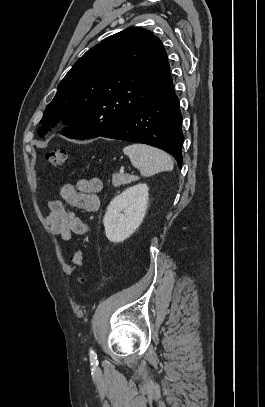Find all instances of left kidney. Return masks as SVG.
Returning <instances> with one entry per match:
<instances>
[{
  "label": "left kidney",
  "instance_id": "1",
  "mask_svg": "<svg viewBox=\"0 0 265 407\" xmlns=\"http://www.w3.org/2000/svg\"><path fill=\"white\" fill-rule=\"evenodd\" d=\"M148 200V186L140 183L127 188L110 202L103 218L110 242H123L135 232L143 221Z\"/></svg>",
  "mask_w": 265,
  "mask_h": 407
}]
</instances>
